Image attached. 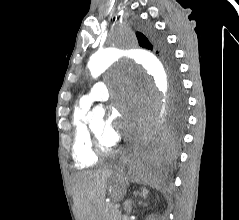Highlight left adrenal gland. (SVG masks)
I'll list each match as a JSON object with an SVG mask.
<instances>
[{
	"instance_id": "obj_1",
	"label": "left adrenal gland",
	"mask_w": 239,
	"mask_h": 220,
	"mask_svg": "<svg viewBox=\"0 0 239 220\" xmlns=\"http://www.w3.org/2000/svg\"><path fill=\"white\" fill-rule=\"evenodd\" d=\"M144 198H146V195H143ZM132 204H134V202L132 200H126L124 202V211L126 212L127 215H130L131 210H132ZM139 204H142V202H139Z\"/></svg>"
}]
</instances>
